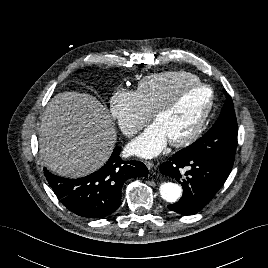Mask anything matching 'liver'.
Instances as JSON below:
<instances>
[{
	"instance_id": "6515ba94",
	"label": "liver",
	"mask_w": 268,
	"mask_h": 268,
	"mask_svg": "<svg viewBox=\"0 0 268 268\" xmlns=\"http://www.w3.org/2000/svg\"><path fill=\"white\" fill-rule=\"evenodd\" d=\"M116 138L115 124L100 101L66 91L47 104L39 128V152L49 171L78 178L106 163Z\"/></svg>"
}]
</instances>
